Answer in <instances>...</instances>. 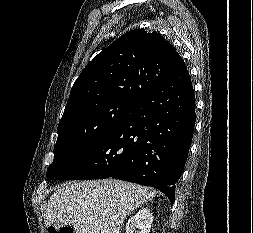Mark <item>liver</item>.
Wrapping results in <instances>:
<instances>
[{
    "mask_svg": "<svg viewBox=\"0 0 253 233\" xmlns=\"http://www.w3.org/2000/svg\"><path fill=\"white\" fill-rule=\"evenodd\" d=\"M155 195L151 188L113 179L65 184L50 196L45 224L73 226L76 233H120L127 215Z\"/></svg>",
    "mask_w": 253,
    "mask_h": 233,
    "instance_id": "liver-1",
    "label": "liver"
}]
</instances>
